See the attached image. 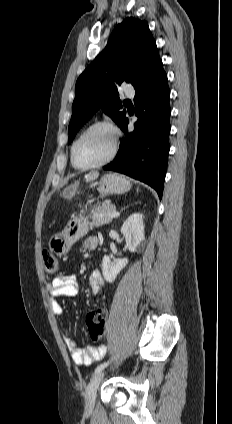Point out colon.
Masks as SVG:
<instances>
[{"label": "colon", "mask_w": 232, "mask_h": 424, "mask_svg": "<svg viewBox=\"0 0 232 424\" xmlns=\"http://www.w3.org/2000/svg\"><path fill=\"white\" fill-rule=\"evenodd\" d=\"M42 260L46 273H54L57 270L58 260L52 252L43 251ZM106 317L107 310L103 307H98L87 314L86 325L89 336L93 341H98L103 337Z\"/></svg>", "instance_id": "colon-1"}]
</instances>
